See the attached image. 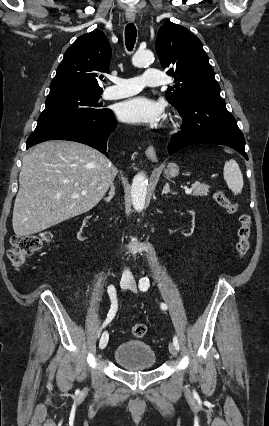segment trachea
Listing matches in <instances>:
<instances>
[{"label":"trachea","mask_w":269,"mask_h":426,"mask_svg":"<svg viewBox=\"0 0 269 426\" xmlns=\"http://www.w3.org/2000/svg\"><path fill=\"white\" fill-rule=\"evenodd\" d=\"M136 27L133 23H129L125 28V44L129 51H132L136 41Z\"/></svg>","instance_id":"1"}]
</instances>
